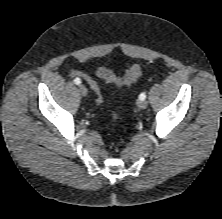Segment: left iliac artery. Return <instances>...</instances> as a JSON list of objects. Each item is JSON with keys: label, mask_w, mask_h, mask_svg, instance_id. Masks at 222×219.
Masks as SVG:
<instances>
[{"label": "left iliac artery", "mask_w": 222, "mask_h": 219, "mask_svg": "<svg viewBox=\"0 0 222 219\" xmlns=\"http://www.w3.org/2000/svg\"><path fill=\"white\" fill-rule=\"evenodd\" d=\"M146 98V94L145 93H141L140 95H139V99L140 100H144Z\"/></svg>", "instance_id": "44dca946"}]
</instances>
